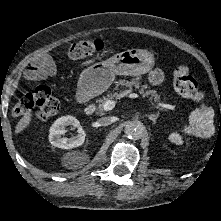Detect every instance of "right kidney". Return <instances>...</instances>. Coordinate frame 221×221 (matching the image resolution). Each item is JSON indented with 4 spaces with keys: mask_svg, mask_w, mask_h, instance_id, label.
Here are the masks:
<instances>
[{
    "mask_svg": "<svg viewBox=\"0 0 221 221\" xmlns=\"http://www.w3.org/2000/svg\"><path fill=\"white\" fill-rule=\"evenodd\" d=\"M72 125L77 128L78 134L71 138L61 137L66 132V127ZM49 142L58 148L72 149L81 146L86 137V133L79 121L73 116H64L58 118L49 130Z\"/></svg>",
    "mask_w": 221,
    "mask_h": 221,
    "instance_id": "obj_1",
    "label": "right kidney"
}]
</instances>
